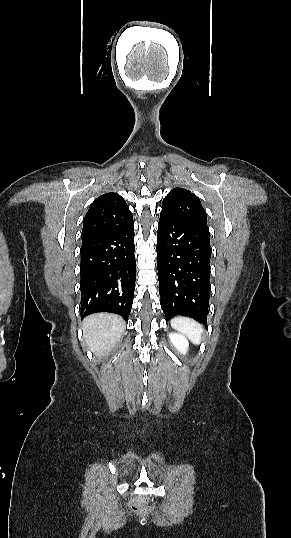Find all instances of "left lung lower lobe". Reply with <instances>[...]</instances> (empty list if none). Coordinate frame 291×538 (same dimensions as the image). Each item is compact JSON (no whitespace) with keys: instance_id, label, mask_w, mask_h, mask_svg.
<instances>
[{"instance_id":"0a47b994","label":"left lung lower lobe","mask_w":291,"mask_h":538,"mask_svg":"<svg viewBox=\"0 0 291 538\" xmlns=\"http://www.w3.org/2000/svg\"><path fill=\"white\" fill-rule=\"evenodd\" d=\"M209 240L207 226L160 213L157 267L161 308L166 319L178 313L207 323L212 253Z\"/></svg>"}]
</instances>
